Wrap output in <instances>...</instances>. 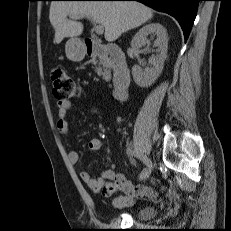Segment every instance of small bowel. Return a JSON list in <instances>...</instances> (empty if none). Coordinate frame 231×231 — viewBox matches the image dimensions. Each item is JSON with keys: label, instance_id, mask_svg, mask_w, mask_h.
Here are the masks:
<instances>
[{"label": "small bowel", "instance_id": "small-bowel-1", "mask_svg": "<svg viewBox=\"0 0 231 231\" xmlns=\"http://www.w3.org/2000/svg\"><path fill=\"white\" fill-rule=\"evenodd\" d=\"M57 106V130L60 134L66 136L70 132L69 113L71 105L68 101H59ZM90 113L97 114L98 110L96 108H91ZM102 148L103 141L100 138H92L88 143V149L92 153H96ZM68 160L73 165L78 164L80 161L79 153L74 150L69 151ZM79 175L94 193L112 197L115 207L130 206L135 199L139 197L155 196V191L151 187L141 184L134 185L127 180L123 174L112 169L101 171L100 175L97 177L91 176L87 171H81ZM118 192H122V195H118Z\"/></svg>", "mask_w": 231, "mask_h": 231}]
</instances>
